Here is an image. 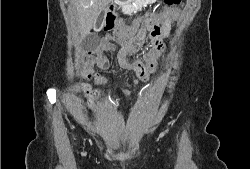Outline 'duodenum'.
<instances>
[{
  "instance_id": "obj_1",
  "label": "duodenum",
  "mask_w": 250,
  "mask_h": 169,
  "mask_svg": "<svg viewBox=\"0 0 250 169\" xmlns=\"http://www.w3.org/2000/svg\"><path fill=\"white\" fill-rule=\"evenodd\" d=\"M103 58H106V57H99V60H102ZM137 77V76H136ZM138 78V77H137Z\"/></svg>"
}]
</instances>
